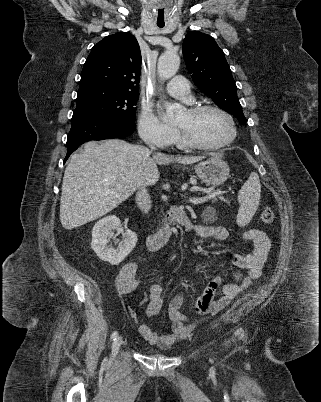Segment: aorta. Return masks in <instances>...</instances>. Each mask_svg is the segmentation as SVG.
<instances>
[{
	"label": "aorta",
	"mask_w": 321,
	"mask_h": 402,
	"mask_svg": "<svg viewBox=\"0 0 321 402\" xmlns=\"http://www.w3.org/2000/svg\"><path fill=\"white\" fill-rule=\"evenodd\" d=\"M179 65V55L175 51H166L158 59L157 71L159 78L164 81L173 77L177 73ZM164 106L166 110L164 118L166 119L176 117V115L182 110L180 104L165 102Z\"/></svg>",
	"instance_id": "obj_1"
}]
</instances>
